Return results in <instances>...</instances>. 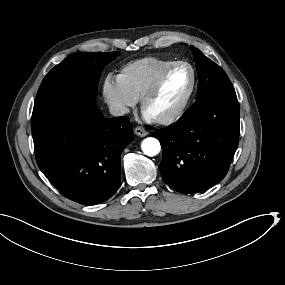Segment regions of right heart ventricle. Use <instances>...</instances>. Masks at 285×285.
I'll use <instances>...</instances> for the list:
<instances>
[{
  "instance_id": "obj_1",
  "label": "right heart ventricle",
  "mask_w": 285,
  "mask_h": 285,
  "mask_svg": "<svg viewBox=\"0 0 285 285\" xmlns=\"http://www.w3.org/2000/svg\"><path fill=\"white\" fill-rule=\"evenodd\" d=\"M170 67V62L154 57L137 60L130 67L131 76L124 87L136 99H139Z\"/></svg>"
}]
</instances>
